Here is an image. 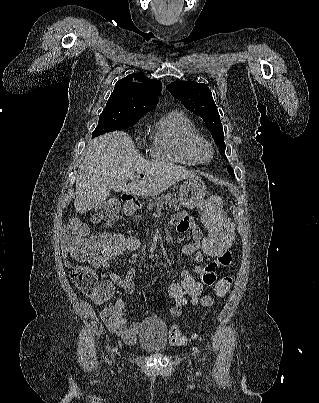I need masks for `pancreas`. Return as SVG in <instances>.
<instances>
[{
  "label": "pancreas",
  "instance_id": "pancreas-1",
  "mask_svg": "<svg viewBox=\"0 0 319 403\" xmlns=\"http://www.w3.org/2000/svg\"><path fill=\"white\" fill-rule=\"evenodd\" d=\"M169 206L175 211H179L180 205L178 204V201L175 200L171 194H160L157 196H154L148 203L147 209L150 210L154 207L157 208H164L166 206Z\"/></svg>",
  "mask_w": 319,
  "mask_h": 403
}]
</instances>
